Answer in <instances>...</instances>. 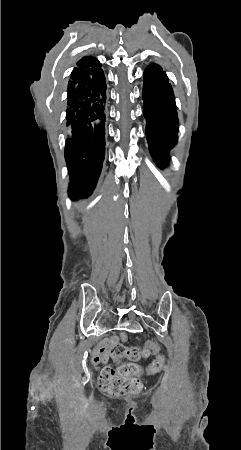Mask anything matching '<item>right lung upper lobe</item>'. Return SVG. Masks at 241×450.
<instances>
[{
	"instance_id": "obj_1",
	"label": "right lung upper lobe",
	"mask_w": 241,
	"mask_h": 450,
	"mask_svg": "<svg viewBox=\"0 0 241 450\" xmlns=\"http://www.w3.org/2000/svg\"><path fill=\"white\" fill-rule=\"evenodd\" d=\"M97 61L96 58L92 57V56H84L83 58H81L78 62H77V66H82V65H86V64H93Z\"/></svg>"
}]
</instances>
